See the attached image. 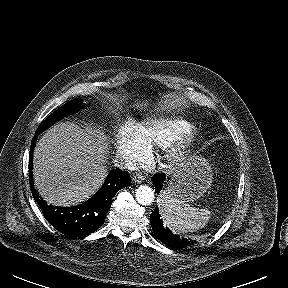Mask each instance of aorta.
Returning <instances> with one entry per match:
<instances>
[{"mask_svg":"<svg viewBox=\"0 0 288 288\" xmlns=\"http://www.w3.org/2000/svg\"><path fill=\"white\" fill-rule=\"evenodd\" d=\"M135 197L139 204L148 206L154 201L155 195L151 187L147 185H140L135 190Z\"/></svg>","mask_w":288,"mask_h":288,"instance_id":"aorta-1","label":"aorta"}]
</instances>
